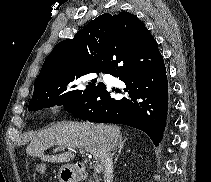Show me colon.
<instances>
[{"label":"colon","mask_w":211,"mask_h":182,"mask_svg":"<svg viewBox=\"0 0 211 182\" xmlns=\"http://www.w3.org/2000/svg\"><path fill=\"white\" fill-rule=\"evenodd\" d=\"M38 173L39 174H42L43 173V168L41 166L38 168Z\"/></svg>","instance_id":"colon-1"}]
</instances>
